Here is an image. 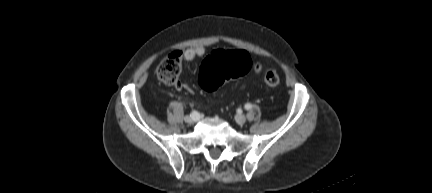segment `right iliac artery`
<instances>
[{
    "instance_id": "right-iliac-artery-1",
    "label": "right iliac artery",
    "mask_w": 432,
    "mask_h": 193,
    "mask_svg": "<svg viewBox=\"0 0 432 193\" xmlns=\"http://www.w3.org/2000/svg\"><path fill=\"white\" fill-rule=\"evenodd\" d=\"M196 114H198V113L195 112V111H193V112L191 113V116H195Z\"/></svg>"
}]
</instances>
